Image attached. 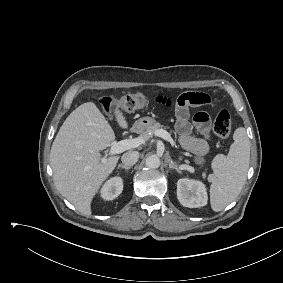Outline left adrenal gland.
Masks as SVG:
<instances>
[{"label": "left adrenal gland", "mask_w": 283, "mask_h": 283, "mask_svg": "<svg viewBox=\"0 0 283 283\" xmlns=\"http://www.w3.org/2000/svg\"><path fill=\"white\" fill-rule=\"evenodd\" d=\"M166 162L169 165V169H174V170H176V172L181 173V169L177 166V164L175 162L172 161V159L170 157H167Z\"/></svg>", "instance_id": "a2214340"}]
</instances>
